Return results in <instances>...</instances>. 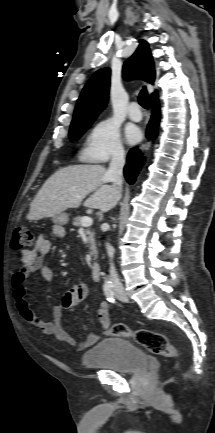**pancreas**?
Returning <instances> with one entry per match:
<instances>
[{
  "instance_id": "cf45deb5",
  "label": "pancreas",
  "mask_w": 215,
  "mask_h": 433,
  "mask_svg": "<svg viewBox=\"0 0 215 433\" xmlns=\"http://www.w3.org/2000/svg\"><path fill=\"white\" fill-rule=\"evenodd\" d=\"M82 221V217L77 216L73 219V225L76 227H83L81 224ZM85 234L87 235V242L89 244V255L90 256H97V248H96V243H95V239H94V232L90 229V228H85L84 229Z\"/></svg>"
}]
</instances>
